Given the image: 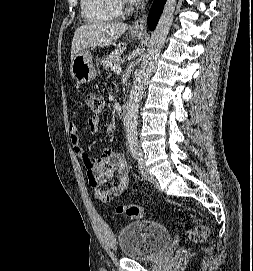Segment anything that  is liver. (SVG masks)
<instances>
[{
  "label": "liver",
  "mask_w": 253,
  "mask_h": 271,
  "mask_svg": "<svg viewBox=\"0 0 253 271\" xmlns=\"http://www.w3.org/2000/svg\"><path fill=\"white\" fill-rule=\"evenodd\" d=\"M127 29L128 25L121 22L88 23L77 28L72 40L71 61L88 47L113 44Z\"/></svg>",
  "instance_id": "obj_1"
}]
</instances>
